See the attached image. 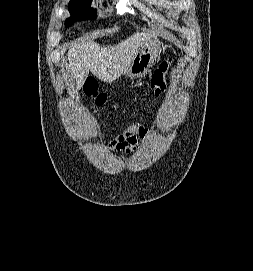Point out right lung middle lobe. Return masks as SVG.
Returning a JSON list of instances; mask_svg holds the SVG:
<instances>
[{"label": "right lung middle lobe", "instance_id": "right-lung-middle-lobe-1", "mask_svg": "<svg viewBox=\"0 0 253 271\" xmlns=\"http://www.w3.org/2000/svg\"><path fill=\"white\" fill-rule=\"evenodd\" d=\"M92 0H71L68 10L71 18L66 20L67 25H71L74 20L94 19L95 10L90 8Z\"/></svg>", "mask_w": 253, "mask_h": 271}]
</instances>
